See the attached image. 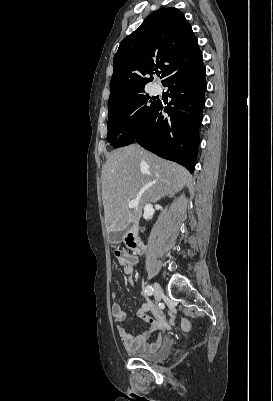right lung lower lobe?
I'll list each match as a JSON object with an SVG mask.
<instances>
[{"label":"right lung lower lobe","mask_w":273,"mask_h":401,"mask_svg":"<svg viewBox=\"0 0 273 401\" xmlns=\"http://www.w3.org/2000/svg\"><path fill=\"white\" fill-rule=\"evenodd\" d=\"M163 85L169 87L172 101L167 106L159 101L133 142L193 172L207 86L203 60L179 66ZM164 112L170 117H164Z\"/></svg>","instance_id":"right-lung-lower-lobe-1"}]
</instances>
